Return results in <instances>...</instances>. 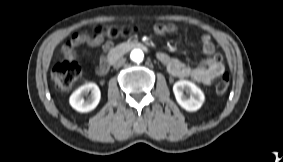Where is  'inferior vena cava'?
I'll use <instances>...</instances> for the list:
<instances>
[{
	"label": "inferior vena cava",
	"mask_w": 283,
	"mask_h": 162,
	"mask_svg": "<svg viewBox=\"0 0 283 162\" xmlns=\"http://www.w3.org/2000/svg\"><path fill=\"white\" fill-rule=\"evenodd\" d=\"M126 62V59L125 58H119L118 60H116L114 62V68H120L121 66H123Z\"/></svg>",
	"instance_id": "obj_1"
}]
</instances>
